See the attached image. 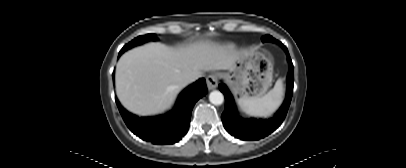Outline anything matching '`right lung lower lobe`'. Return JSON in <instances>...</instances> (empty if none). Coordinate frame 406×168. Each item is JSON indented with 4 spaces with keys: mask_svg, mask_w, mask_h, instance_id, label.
<instances>
[{
    "mask_svg": "<svg viewBox=\"0 0 406 168\" xmlns=\"http://www.w3.org/2000/svg\"><path fill=\"white\" fill-rule=\"evenodd\" d=\"M206 93V81L201 78L179 94L170 111L149 117H139L116 103L126 125L136 136L153 144H174L187 133L193 106Z\"/></svg>",
    "mask_w": 406,
    "mask_h": 168,
    "instance_id": "right-lung-lower-lobe-1",
    "label": "right lung lower lobe"
}]
</instances>
